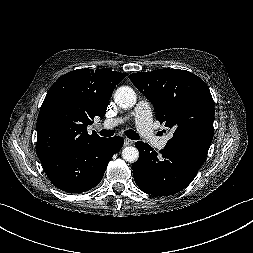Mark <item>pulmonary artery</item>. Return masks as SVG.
<instances>
[{
  "label": "pulmonary artery",
  "instance_id": "obj_1",
  "mask_svg": "<svg viewBox=\"0 0 253 253\" xmlns=\"http://www.w3.org/2000/svg\"><path fill=\"white\" fill-rule=\"evenodd\" d=\"M130 116L135 118L138 131L146 140L158 149H164L166 147L169 136L165 135L160 137L154 132L152 111L149 103L145 101L139 102L128 117ZM124 119L126 118L107 119L104 121L103 126L105 128H113L123 123Z\"/></svg>",
  "mask_w": 253,
  "mask_h": 253
}]
</instances>
